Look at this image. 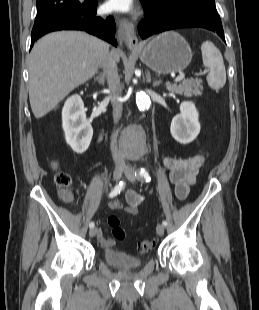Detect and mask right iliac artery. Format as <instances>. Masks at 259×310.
I'll return each mask as SVG.
<instances>
[{
    "mask_svg": "<svg viewBox=\"0 0 259 310\" xmlns=\"http://www.w3.org/2000/svg\"><path fill=\"white\" fill-rule=\"evenodd\" d=\"M124 186H125V183L123 181H120L118 184H116V186L110 192L109 197H115L118 194H120V192L123 190ZM89 227L93 228L94 227V222H90L89 223Z\"/></svg>",
    "mask_w": 259,
    "mask_h": 310,
    "instance_id": "1",
    "label": "right iliac artery"
}]
</instances>
